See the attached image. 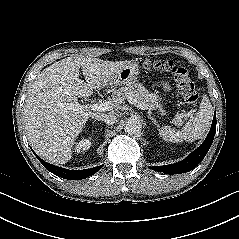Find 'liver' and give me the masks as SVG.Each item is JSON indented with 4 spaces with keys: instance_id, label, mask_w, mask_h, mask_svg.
Wrapping results in <instances>:
<instances>
[{
    "instance_id": "1",
    "label": "liver",
    "mask_w": 239,
    "mask_h": 239,
    "mask_svg": "<svg viewBox=\"0 0 239 239\" xmlns=\"http://www.w3.org/2000/svg\"><path fill=\"white\" fill-rule=\"evenodd\" d=\"M126 61L71 56L45 68L33 81L24 105V123L35 152L50 163L65 164L91 111L77 109L78 97L104 88ZM80 68L85 82L79 78Z\"/></svg>"
}]
</instances>
